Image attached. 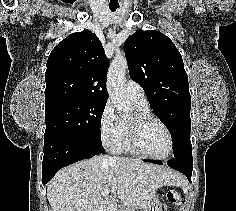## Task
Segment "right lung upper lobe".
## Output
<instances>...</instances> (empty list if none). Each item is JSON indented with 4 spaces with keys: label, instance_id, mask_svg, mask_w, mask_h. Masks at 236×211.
I'll return each instance as SVG.
<instances>
[{
    "label": "right lung upper lobe",
    "instance_id": "cb5924a9",
    "mask_svg": "<svg viewBox=\"0 0 236 211\" xmlns=\"http://www.w3.org/2000/svg\"><path fill=\"white\" fill-rule=\"evenodd\" d=\"M109 62L91 31L76 32L50 53L45 73V105L62 100L106 102Z\"/></svg>",
    "mask_w": 236,
    "mask_h": 211
}]
</instances>
